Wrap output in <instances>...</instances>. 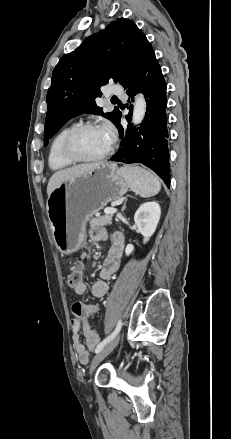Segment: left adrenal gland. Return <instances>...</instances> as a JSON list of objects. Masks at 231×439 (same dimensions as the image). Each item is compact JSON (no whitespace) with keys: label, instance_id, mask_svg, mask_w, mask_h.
<instances>
[{"label":"left adrenal gland","instance_id":"1","mask_svg":"<svg viewBox=\"0 0 231 439\" xmlns=\"http://www.w3.org/2000/svg\"><path fill=\"white\" fill-rule=\"evenodd\" d=\"M126 202H127V198H125V200H124V203H123V206L121 209L122 212H124V210L126 209Z\"/></svg>","mask_w":231,"mask_h":439}]
</instances>
